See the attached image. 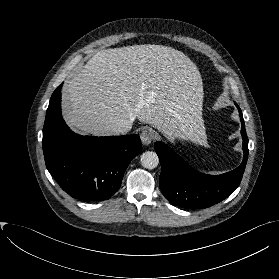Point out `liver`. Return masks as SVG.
I'll list each match as a JSON object with an SVG mask.
<instances>
[{"label":"liver","instance_id":"6515ba94","mask_svg":"<svg viewBox=\"0 0 279 279\" xmlns=\"http://www.w3.org/2000/svg\"><path fill=\"white\" fill-rule=\"evenodd\" d=\"M202 103L197 66L183 52L154 44L101 50L62 90L65 119L82 133L119 135L138 119L207 146Z\"/></svg>","mask_w":279,"mask_h":279}]
</instances>
